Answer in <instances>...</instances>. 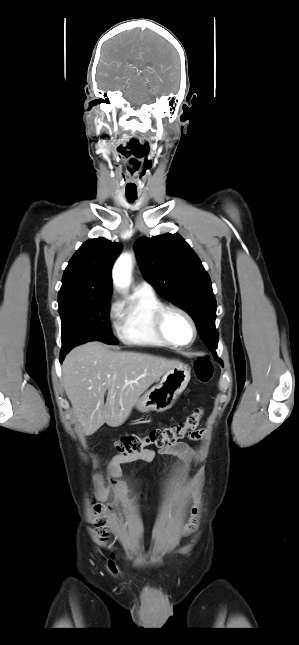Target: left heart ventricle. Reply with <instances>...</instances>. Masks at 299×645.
<instances>
[{"instance_id": "left-heart-ventricle-1", "label": "left heart ventricle", "mask_w": 299, "mask_h": 645, "mask_svg": "<svg viewBox=\"0 0 299 645\" xmlns=\"http://www.w3.org/2000/svg\"><path fill=\"white\" fill-rule=\"evenodd\" d=\"M165 330L168 336L178 343H187L192 337V329L189 322L177 312H169L167 314Z\"/></svg>"}]
</instances>
